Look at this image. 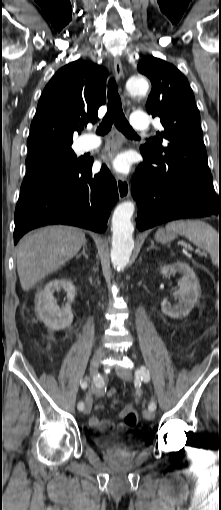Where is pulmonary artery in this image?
Returning a JSON list of instances; mask_svg holds the SVG:
<instances>
[{"mask_svg": "<svg viewBox=\"0 0 221 510\" xmlns=\"http://www.w3.org/2000/svg\"><path fill=\"white\" fill-rule=\"evenodd\" d=\"M130 123L131 127L136 130H145L149 125L148 117L146 116L145 113L142 112H134L131 115ZM100 143L101 142L97 137L93 135H88L84 144V150L88 151L95 149L99 147Z\"/></svg>", "mask_w": 221, "mask_h": 510, "instance_id": "obj_1", "label": "pulmonary artery"}]
</instances>
